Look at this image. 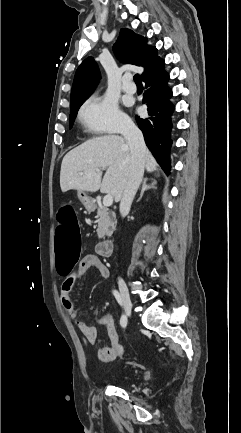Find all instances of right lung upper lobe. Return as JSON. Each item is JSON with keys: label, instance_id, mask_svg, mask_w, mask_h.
<instances>
[{"label": "right lung upper lobe", "instance_id": "1", "mask_svg": "<svg viewBox=\"0 0 241 433\" xmlns=\"http://www.w3.org/2000/svg\"><path fill=\"white\" fill-rule=\"evenodd\" d=\"M113 50L122 61L144 67L142 80L159 70L164 60L157 56V49L146 44V38L132 30L122 28ZM99 79V70L92 57L86 58L78 67L71 90V108L86 100L94 91Z\"/></svg>", "mask_w": 241, "mask_h": 433}]
</instances>
